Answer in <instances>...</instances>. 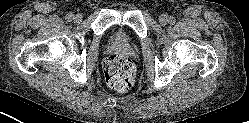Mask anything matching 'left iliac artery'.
Wrapping results in <instances>:
<instances>
[{
  "instance_id": "obj_1",
  "label": "left iliac artery",
  "mask_w": 249,
  "mask_h": 123,
  "mask_svg": "<svg viewBox=\"0 0 249 123\" xmlns=\"http://www.w3.org/2000/svg\"><path fill=\"white\" fill-rule=\"evenodd\" d=\"M175 18L173 17V16H170L169 17V20H168V22L170 23V24H174L175 23Z\"/></svg>"
}]
</instances>
